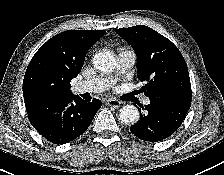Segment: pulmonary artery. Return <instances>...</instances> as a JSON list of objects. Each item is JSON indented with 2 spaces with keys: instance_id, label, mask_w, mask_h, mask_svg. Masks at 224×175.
I'll use <instances>...</instances> for the list:
<instances>
[{
  "instance_id": "1",
  "label": "pulmonary artery",
  "mask_w": 224,
  "mask_h": 175,
  "mask_svg": "<svg viewBox=\"0 0 224 175\" xmlns=\"http://www.w3.org/2000/svg\"><path fill=\"white\" fill-rule=\"evenodd\" d=\"M136 55L131 50H120L117 55V75H122L127 73L135 64ZM114 82L113 77H99L86 81L79 82L75 85L74 91L76 93H96L102 92L109 88ZM150 103L149 99L144 100V104L148 105Z\"/></svg>"
}]
</instances>
